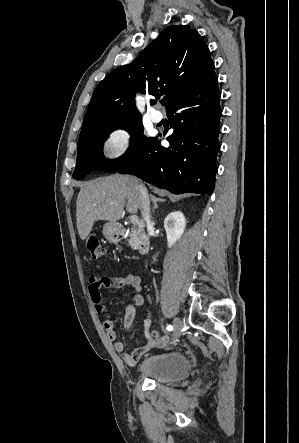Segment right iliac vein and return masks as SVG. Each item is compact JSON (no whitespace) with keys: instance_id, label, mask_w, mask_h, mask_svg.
I'll use <instances>...</instances> for the list:
<instances>
[{"instance_id":"63e3f726","label":"right iliac vein","mask_w":299,"mask_h":443,"mask_svg":"<svg viewBox=\"0 0 299 443\" xmlns=\"http://www.w3.org/2000/svg\"><path fill=\"white\" fill-rule=\"evenodd\" d=\"M173 326H174V340H176L177 338L180 337L181 335V330H182V322L179 318H175L173 321Z\"/></svg>"}]
</instances>
